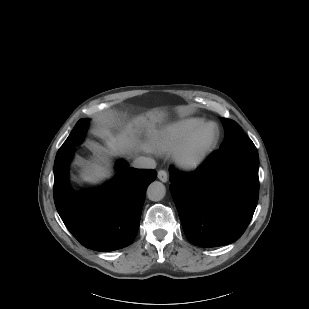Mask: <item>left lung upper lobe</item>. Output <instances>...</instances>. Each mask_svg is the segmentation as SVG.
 I'll return each instance as SVG.
<instances>
[{
  "mask_svg": "<svg viewBox=\"0 0 309 309\" xmlns=\"http://www.w3.org/2000/svg\"><path fill=\"white\" fill-rule=\"evenodd\" d=\"M222 120L224 122L226 132L221 150L231 149L240 145L253 143L235 121L227 118H223Z\"/></svg>",
  "mask_w": 309,
  "mask_h": 309,
  "instance_id": "left-lung-upper-lobe-1",
  "label": "left lung upper lobe"
}]
</instances>
